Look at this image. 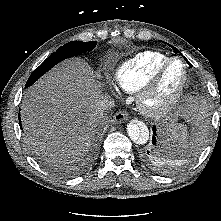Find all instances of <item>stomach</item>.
Returning a JSON list of instances; mask_svg holds the SVG:
<instances>
[{
  "instance_id": "0dacf381",
  "label": "stomach",
  "mask_w": 221,
  "mask_h": 221,
  "mask_svg": "<svg viewBox=\"0 0 221 221\" xmlns=\"http://www.w3.org/2000/svg\"><path fill=\"white\" fill-rule=\"evenodd\" d=\"M179 116V112L178 111H173V112H169L165 115V117L163 118L160 126L165 130H168L170 128H173L176 124H174Z\"/></svg>"
}]
</instances>
